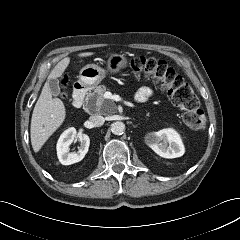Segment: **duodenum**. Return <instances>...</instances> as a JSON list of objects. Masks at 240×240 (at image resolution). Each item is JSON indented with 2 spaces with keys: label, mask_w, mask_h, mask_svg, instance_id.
<instances>
[{
  "label": "duodenum",
  "mask_w": 240,
  "mask_h": 240,
  "mask_svg": "<svg viewBox=\"0 0 240 240\" xmlns=\"http://www.w3.org/2000/svg\"><path fill=\"white\" fill-rule=\"evenodd\" d=\"M87 88L84 85H76L73 91L72 106L80 108L83 104Z\"/></svg>",
  "instance_id": "obj_1"
}]
</instances>
